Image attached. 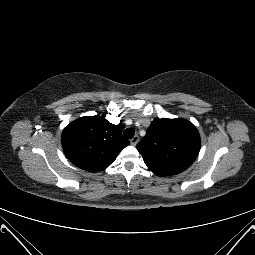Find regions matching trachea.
I'll use <instances>...</instances> for the list:
<instances>
[{
	"instance_id": "obj_1",
	"label": "trachea",
	"mask_w": 255,
	"mask_h": 255,
	"mask_svg": "<svg viewBox=\"0 0 255 255\" xmlns=\"http://www.w3.org/2000/svg\"><path fill=\"white\" fill-rule=\"evenodd\" d=\"M135 135V130L133 128H127L123 132V136L127 139L133 138Z\"/></svg>"
}]
</instances>
